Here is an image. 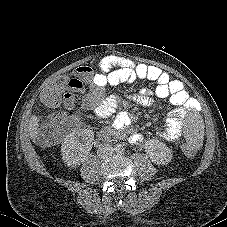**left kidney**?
I'll return each instance as SVG.
<instances>
[{
  "instance_id": "left-kidney-1",
  "label": "left kidney",
  "mask_w": 227,
  "mask_h": 227,
  "mask_svg": "<svg viewBox=\"0 0 227 227\" xmlns=\"http://www.w3.org/2000/svg\"><path fill=\"white\" fill-rule=\"evenodd\" d=\"M147 154L157 165H166L173 157L172 150L158 140H151L149 142Z\"/></svg>"
}]
</instances>
